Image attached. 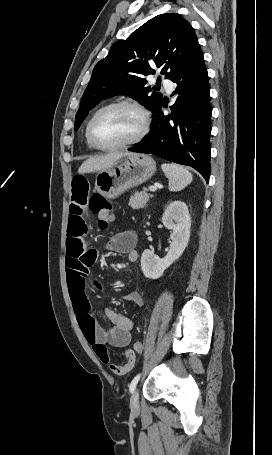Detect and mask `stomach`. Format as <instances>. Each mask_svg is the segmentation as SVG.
<instances>
[{"label":"stomach","mask_w":272,"mask_h":455,"mask_svg":"<svg viewBox=\"0 0 272 455\" xmlns=\"http://www.w3.org/2000/svg\"><path fill=\"white\" fill-rule=\"evenodd\" d=\"M156 172V162L145 154H133L122 163L100 171L95 179V191L104 198L115 199L126 190L136 187Z\"/></svg>","instance_id":"stomach-1"}]
</instances>
